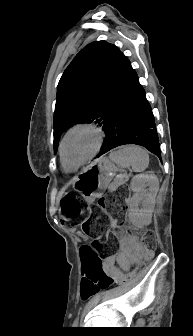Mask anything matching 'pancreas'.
<instances>
[{
    "instance_id": "1",
    "label": "pancreas",
    "mask_w": 193,
    "mask_h": 336,
    "mask_svg": "<svg viewBox=\"0 0 193 336\" xmlns=\"http://www.w3.org/2000/svg\"><path fill=\"white\" fill-rule=\"evenodd\" d=\"M125 182L124 177L120 176V177H116V179L114 180V182L111 184L109 191L110 192H114L116 190V187H118L119 185L123 184Z\"/></svg>"
}]
</instances>
